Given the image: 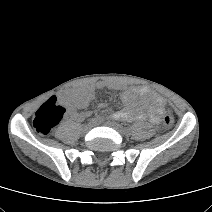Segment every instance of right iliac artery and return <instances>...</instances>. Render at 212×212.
I'll list each match as a JSON object with an SVG mask.
<instances>
[{"label": "right iliac artery", "mask_w": 212, "mask_h": 212, "mask_svg": "<svg viewBox=\"0 0 212 212\" xmlns=\"http://www.w3.org/2000/svg\"><path fill=\"white\" fill-rule=\"evenodd\" d=\"M99 121V119H97V118H92L91 120H90V123H97Z\"/></svg>", "instance_id": "obj_1"}]
</instances>
